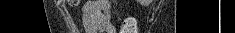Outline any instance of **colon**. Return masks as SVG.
Here are the masks:
<instances>
[{"label":"colon","mask_w":235,"mask_h":33,"mask_svg":"<svg viewBox=\"0 0 235 33\" xmlns=\"http://www.w3.org/2000/svg\"><path fill=\"white\" fill-rule=\"evenodd\" d=\"M72 3L76 4L78 1H72ZM123 33H136V25L133 19L125 20L122 28Z\"/></svg>","instance_id":"colon-1"}]
</instances>
